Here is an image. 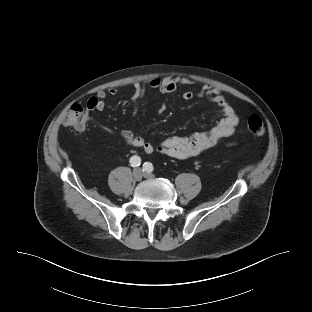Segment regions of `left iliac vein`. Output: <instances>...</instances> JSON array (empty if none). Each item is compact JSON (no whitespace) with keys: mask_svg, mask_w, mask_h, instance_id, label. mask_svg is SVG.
Masks as SVG:
<instances>
[{"mask_svg":"<svg viewBox=\"0 0 312 312\" xmlns=\"http://www.w3.org/2000/svg\"><path fill=\"white\" fill-rule=\"evenodd\" d=\"M144 177L146 178H154V175L151 173H144Z\"/></svg>","mask_w":312,"mask_h":312,"instance_id":"obj_1","label":"left iliac vein"}]
</instances>
